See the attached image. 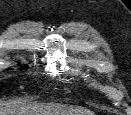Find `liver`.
<instances>
[{
    "instance_id": "liver-1",
    "label": "liver",
    "mask_w": 131,
    "mask_h": 115,
    "mask_svg": "<svg viewBox=\"0 0 131 115\" xmlns=\"http://www.w3.org/2000/svg\"><path fill=\"white\" fill-rule=\"evenodd\" d=\"M94 115L89 110L68 108L59 104H38L26 101H11L0 105V115Z\"/></svg>"
}]
</instances>
